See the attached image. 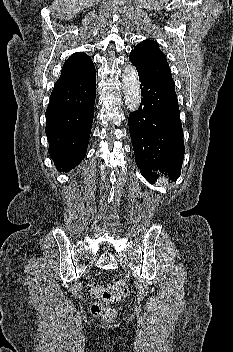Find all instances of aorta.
<instances>
[{"label":"aorta","instance_id":"762f6f07","mask_svg":"<svg viewBox=\"0 0 233 352\" xmlns=\"http://www.w3.org/2000/svg\"><path fill=\"white\" fill-rule=\"evenodd\" d=\"M122 81L125 104L130 111L134 112L140 106L141 91L138 74L133 66L125 68Z\"/></svg>","mask_w":233,"mask_h":352}]
</instances>
